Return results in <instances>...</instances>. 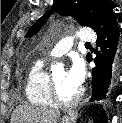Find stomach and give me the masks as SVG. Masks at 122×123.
<instances>
[{"label": "stomach", "mask_w": 122, "mask_h": 123, "mask_svg": "<svg viewBox=\"0 0 122 123\" xmlns=\"http://www.w3.org/2000/svg\"><path fill=\"white\" fill-rule=\"evenodd\" d=\"M74 122H75V116L74 115L64 116L60 120V123H74Z\"/></svg>", "instance_id": "stomach-1"}]
</instances>
